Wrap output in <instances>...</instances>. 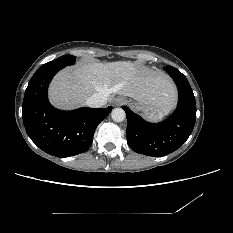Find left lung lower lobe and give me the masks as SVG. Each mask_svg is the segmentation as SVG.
<instances>
[{
	"instance_id": "1",
	"label": "left lung lower lobe",
	"mask_w": 233,
	"mask_h": 233,
	"mask_svg": "<svg viewBox=\"0 0 233 233\" xmlns=\"http://www.w3.org/2000/svg\"><path fill=\"white\" fill-rule=\"evenodd\" d=\"M177 85L179 100L177 109L165 121L149 123L122 108L127 116V143L140 154L164 156L174 152L188 139L196 121L195 97L186 77L172 66L164 67Z\"/></svg>"
}]
</instances>
